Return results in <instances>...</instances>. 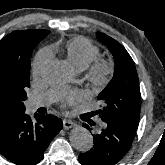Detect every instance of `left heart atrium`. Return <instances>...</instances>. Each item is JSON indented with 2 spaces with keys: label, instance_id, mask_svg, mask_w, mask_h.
<instances>
[{
  "label": "left heart atrium",
  "instance_id": "39dd6f15",
  "mask_svg": "<svg viewBox=\"0 0 165 165\" xmlns=\"http://www.w3.org/2000/svg\"><path fill=\"white\" fill-rule=\"evenodd\" d=\"M77 99H78V97L76 95H70V96L67 97L66 103L67 104H72V103L76 102Z\"/></svg>",
  "mask_w": 165,
  "mask_h": 165
}]
</instances>
